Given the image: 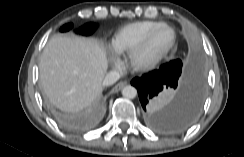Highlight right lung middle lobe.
<instances>
[{"label": "right lung middle lobe", "instance_id": "right-lung-middle-lobe-1", "mask_svg": "<svg viewBox=\"0 0 244 157\" xmlns=\"http://www.w3.org/2000/svg\"><path fill=\"white\" fill-rule=\"evenodd\" d=\"M73 24H66L61 27L60 31H68L72 28ZM95 30L94 24H86L79 29V33L83 35H89Z\"/></svg>", "mask_w": 244, "mask_h": 157}]
</instances>
